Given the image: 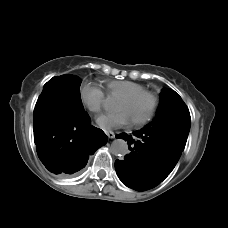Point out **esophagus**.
Returning a JSON list of instances; mask_svg holds the SVG:
<instances>
[{"label":"esophagus","instance_id":"34e87169","mask_svg":"<svg viewBox=\"0 0 228 228\" xmlns=\"http://www.w3.org/2000/svg\"><path fill=\"white\" fill-rule=\"evenodd\" d=\"M106 135L109 137V138H115V133L112 132V131H105Z\"/></svg>","mask_w":228,"mask_h":228}]
</instances>
